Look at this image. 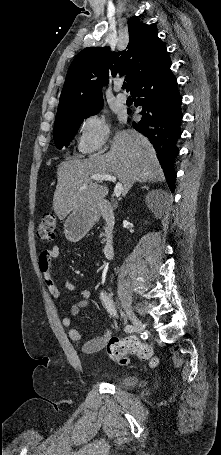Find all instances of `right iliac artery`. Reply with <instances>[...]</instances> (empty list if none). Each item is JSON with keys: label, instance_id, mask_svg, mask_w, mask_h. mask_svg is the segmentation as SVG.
I'll list each match as a JSON object with an SVG mask.
<instances>
[{"label": "right iliac artery", "instance_id": "1", "mask_svg": "<svg viewBox=\"0 0 221 455\" xmlns=\"http://www.w3.org/2000/svg\"><path fill=\"white\" fill-rule=\"evenodd\" d=\"M100 299H101L103 305L105 306V308L107 309V311L111 315L117 316L116 310H115V305H114L112 299L108 296V294L106 292L102 291L100 293ZM125 331L129 332L130 334H133L134 333L133 326L132 325H127L125 327Z\"/></svg>", "mask_w": 221, "mask_h": 455}]
</instances>
